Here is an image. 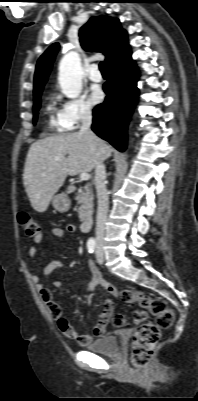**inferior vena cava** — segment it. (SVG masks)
<instances>
[{
    "mask_svg": "<svg viewBox=\"0 0 198 401\" xmlns=\"http://www.w3.org/2000/svg\"><path fill=\"white\" fill-rule=\"evenodd\" d=\"M82 126L80 133L95 139L96 135L91 131L92 114L90 110H85L81 116ZM94 184L97 192L98 208L96 217L95 241L97 246L102 245L104 239L105 222L109 207V195L106 188V169L103 160H99L95 165Z\"/></svg>",
    "mask_w": 198,
    "mask_h": 401,
    "instance_id": "inferior-vena-cava-1",
    "label": "inferior vena cava"
}]
</instances>
